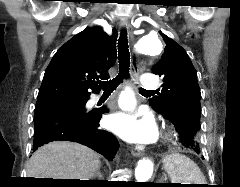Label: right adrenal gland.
<instances>
[{
    "mask_svg": "<svg viewBox=\"0 0 240 187\" xmlns=\"http://www.w3.org/2000/svg\"><path fill=\"white\" fill-rule=\"evenodd\" d=\"M100 167H101V165H100ZM96 177H98L99 180L103 179V175L101 174L100 168L94 174V178H96Z\"/></svg>",
    "mask_w": 240,
    "mask_h": 187,
    "instance_id": "2a0ac1e0",
    "label": "right adrenal gland"
}]
</instances>
